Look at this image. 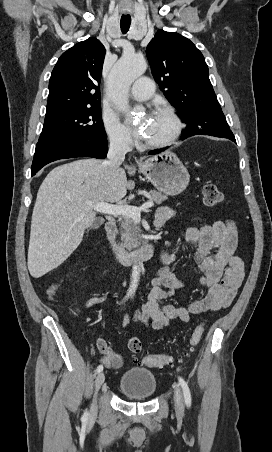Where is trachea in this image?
I'll return each instance as SVG.
<instances>
[{
    "mask_svg": "<svg viewBox=\"0 0 272 452\" xmlns=\"http://www.w3.org/2000/svg\"><path fill=\"white\" fill-rule=\"evenodd\" d=\"M131 25V17L128 16H122L120 20V27L122 33H127Z\"/></svg>",
    "mask_w": 272,
    "mask_h": 452,
    "instance_id": "1",
    "label": "trachea"
}]
</instances>
